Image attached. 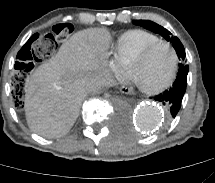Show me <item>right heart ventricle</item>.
Listing matches in <instances>:
<instances>
[{
  "mask_svg": "<svg viewBox=\"0 0 215 183\" xmlns=\"http://www.w3.org/2000/svg\"><path fill=\"white\" fill-rule=\"evenodd\" d=\"M161 40L159 36L143 29H132L119 36L114 56L124 67H129L132 60L148 45Z\"/></svg>",
  "mask_w": 215,
  "mask_h": 183,
  "instance_id": "e07e8e85",
  "label": "right heart ventricle"
}]
</instances>
